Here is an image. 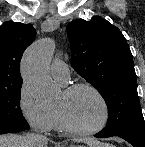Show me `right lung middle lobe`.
Wrapping results in <instances>:
<instances>
[{
	"label": "right lung middle lobe",
	"mask_w": 145,
	"mask_h": 147,
	"mask_svg": "<svg viewBox=\"0 0 145 147\" xmlns=\"http://www.w3.org/2000/svg\"><path fill=\"white\" fill-rule=\"evenodd\" d=\"M21 86L0 88V134L29 128L20 109Z\"/></svg>",
	"instance_id": "right-lung-middle-lobe-1"
}]
</instances>
